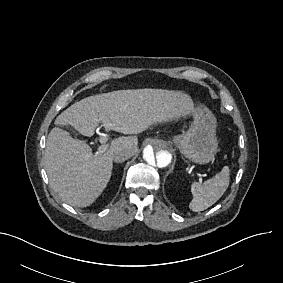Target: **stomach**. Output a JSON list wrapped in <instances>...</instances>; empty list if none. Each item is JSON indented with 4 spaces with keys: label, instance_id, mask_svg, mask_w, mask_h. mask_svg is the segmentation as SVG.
<instances>
[{
    "label": "stomach",
    "instance_id": "0dacf381",
    "mask_svg": "<svg viewBox=\"0 0 283 283\" xmlns=\"http://www.w3.org/2000/svg\"><path fill=\"white\" fill-rule=\"evenodd\" d=\"M194 119V126L185 133L170 136L169 142L184 158L203 165L213 161L219 150L215 135V118L207 109H198Z\"/></svg>",
    "mask_w": 283,
    "mask_h": 283
}]
</instances>
